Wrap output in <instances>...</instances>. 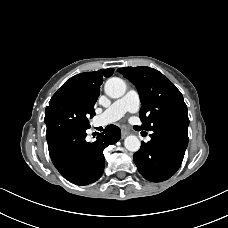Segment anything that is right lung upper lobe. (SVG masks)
Instances as JSON below:
<instances>
[{"label":"right lung upper lobe","instance_id":"obj_1","mask_svg":"<svg viewBox=\"0 0 228 228\" xmlns=\"http://www.w3.org/2000/svg\"><path fill=\"white\" fill-rule=\"evenodd\" d=\"M113 72L114 69H104L75 75L67 80L59 91L69 92L82 102L94 106L100 94L103 76L109 77Z\"/></svg>","mask_w":228,"mask_h":228}]
</instances>
